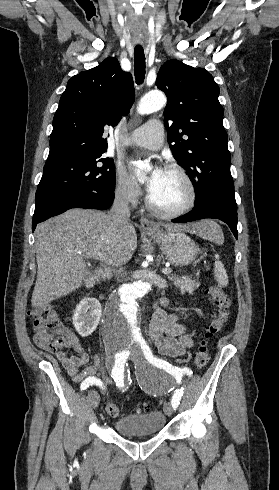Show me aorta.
I'll return each mask as SVG.
<instances>
[{"label": "aorta", "mask_w": 279, "mask_h": 490, "mask_svg": "<svg viewBox=\"0 0 279 490\" xmlns=\"http://www.w3.org/2000/svg\"><path fill=\"white\" fill-rule=\"evenodd\" d=\"M165 104V95L159 91H152L141 99L137 111L140 114H150L160 110ZM133 165L139 164L133 162ZM141 168L149 170L150 166L147 162L141 163ZM150 289V283L135 281L123 285L109 298L103 318V336L110 348H129L144 342L138 301Z\"/></svg>", "instance_id": "762f6f07"}]
</instances>
